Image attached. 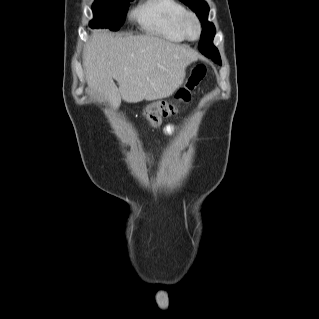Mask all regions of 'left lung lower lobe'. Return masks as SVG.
<instances>
[{
  "instance_id": "left-lung-lower-lobe-1",
  "label": "left lung lower lobe",
  "mask_w": 319,
  "mask_h": 319,
  "mask_svg": "<svg viewBox=\"0 0 319 319\" xmlns=\"http://www.w3.org/2000/svg\"><path fill=\"white\" fill-rule=\"evenodd\" d=\"M207 45H213V41H209L208 43H207ZM202 45H200V47H201ZM202 52V54H204L206 57H208V58H211L214 62L217 60V56H215V55H213V54H211L210 52H209V50H207V51H205V50H202L201 51Z\"/></svg>"
}]
</instances>
